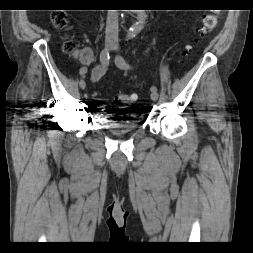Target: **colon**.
<instances>
[{
    "label": "colon",
    "mask_w": 253,
    "mask_h": 253,
    "mask_svg": "<svg viewBox=\"0 0 253 253\" xmlns=\"http://www.w3.org/2000/svg\"><path fill=\"white\" fill-rule=\"evenodd\" d=\"M53 24L57 29H64L67 25L65 15L63 13H56L53 16ZM217 25V15L209 14L203 19L202 26L198 29V37L193 43L199 42L208 33H210ZM192 48V44L185 47L184 54L188 53ZM64 51L67 54L77 56L82 62L87 63L91 60V52L88 49H78L77 45L68 41L64 45ZM137 94L118 93L116 99L123 104H131L137 100Z\"/></svg>",
    "instance_id": "5ec220e1"
}]
</instances>
